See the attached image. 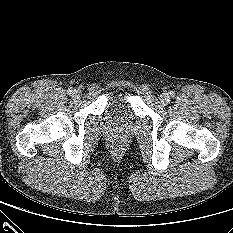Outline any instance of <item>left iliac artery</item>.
<instances>
[{"mask_svg": "<svg viewBox=\"0 0 233 233\" xmlns=\"http://www.w3.org/2000/svg\"><path fill=\"white\" fill-rule=\"evenodd\" d=\"M169 95H170V97H174L175 93L173 91H170Z\"/></svg>", "mask_w": 233, "mask_h": 233, "instance_id": "44dca946", "label": "left iliac artery"}]
</instances>
